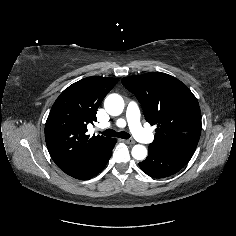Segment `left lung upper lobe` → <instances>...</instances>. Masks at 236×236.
<instances>
[{"mask_svg":"<svg viewBox=\"0 0 236 236\" xmlns=\"http://www.w3.org/2000/svg\"><path fill=\"white\" fill-rule=\"evenodd\" d=\"M121 82L137 97L146 121L158 127L149 147L195 151L202 128L201 111L186 85L161 72L124 77Z\"/></svg>","mask_w":236,"mask_h":236,"instance_id":"5c2ea615","label":"left lung upper lobe"}]
</instances>
